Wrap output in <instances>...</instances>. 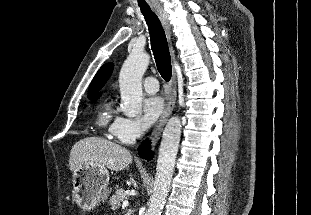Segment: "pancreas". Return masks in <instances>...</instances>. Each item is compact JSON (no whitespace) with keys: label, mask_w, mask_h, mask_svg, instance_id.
Masks as SVG:
<instances>
[{"label":"pancreas","mask_w":311,"mask_h":215,"mask_svg":"<svg viewBox=\"0 0 311 215\" xmlns=\"http://www.w3.org/2000/svg\"><path fill=\"white\" fill-rule=\"evenodd\" d=\"M127 199V194L123 189H117L115 194L110 198L109 204L113 211H116L120 208L121 202Z\"/></svg>","instance_id":"1"}]
</instances>
